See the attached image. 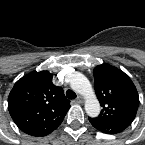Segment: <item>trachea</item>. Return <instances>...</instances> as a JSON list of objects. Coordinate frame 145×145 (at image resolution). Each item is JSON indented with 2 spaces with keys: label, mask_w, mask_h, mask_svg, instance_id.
<instances>
[{
  "label": "trachea",
  "mask_w": 145,
  "mask_h": 145,
  "mask_svg": "<svg viewBox=\"0 0 145 145\" xmlns=\"http://www.w3.org/2000/svg\"><path fill=\"white\" fill-rule=\"evenodd\" d=\"M66 96L68 99H75L77 97L76 93L72 90H67Z\"/></svg>",
  "instance_id": "obj_1"
}]
</instances>
